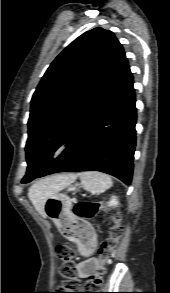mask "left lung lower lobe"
<instances>
[{
  "label": "left lung lower lobe",
  "mask_w": 170,
  "mask_h": 293,
  "mask_svg": "<svg viewBox=\"0 0 170 293\" xmlns=\"http://www.w3.org/2000/svg\"><path fill=\"white\" fill-rule=\"evenodd\" d=\"M136 118L133 77L127 65L63 153L37 176L22 183L58 172L101 171L129 185L136 145Z\"/></svg>",
  "instance_id": "1"
}]
</instances>
